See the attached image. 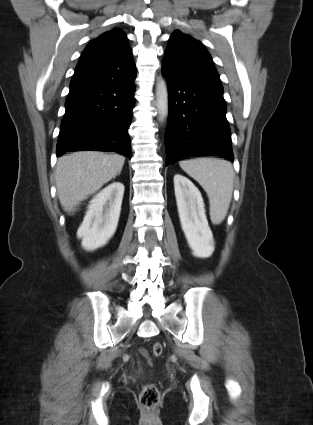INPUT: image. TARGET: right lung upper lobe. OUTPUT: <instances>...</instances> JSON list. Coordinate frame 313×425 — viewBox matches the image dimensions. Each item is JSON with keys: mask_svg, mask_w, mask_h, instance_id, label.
<instances>
[{"mask_svg": "<svg viewBox=\"0 0 313 425\" xmlns=\"http://www.w3.org/2000/svg\"><path fill=\"white\" fill-rule=\"evenodd\" d=\"M134 64L128 39L123 30L114 28L92 40L83 51L78 65ZM77 65V66H78Z\"/></svg>", "mask_w": 313, "mask_h": 425, "instance_id": "cb5924a9", "label": "right lung upper lobe"}]
</instances>
